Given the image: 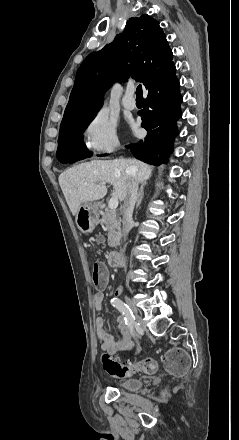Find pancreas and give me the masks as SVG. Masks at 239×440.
Segmentation results:
<instances>
[{"label": "pancreas", "mask_w": 239, "mask_h": 440, "mask_svg": "<svg viewBox=\"0 0 239 440\" xmlns=\"http://www.w3.org/2000/svg\"><path fill=\"white\" fill-rule=\"evenodd\" d=\"M101 216V224H105V228L108 230V246L110 248L119 246L122 234L121 218L115 210H109V208H105V212H102Z\"/></svg>", "instance_id": "cf45deb5"}]
</instances>
